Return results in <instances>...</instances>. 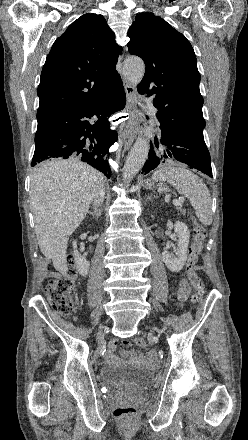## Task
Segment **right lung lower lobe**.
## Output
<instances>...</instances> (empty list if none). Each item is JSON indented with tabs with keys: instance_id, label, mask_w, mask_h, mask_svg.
<instances>
[{
	"instance_id": "obj_1",
	"label": "right lung lower lobe",
	"mask_w": 248,
	"mask_h": 440,
	"mask_svg": "<svg viewBox=\"0 0 248 440\" xmlns=\"http://www.w3.org/2000/svg\"><path fill=\"white\" fill-rule=\"evenodd\" d=\"M126 95L119 78L101 98L79 102L38 121L31 166L51 158H76L95 167L107 178L106 160L117 133L110 130L108 117L124 108Z\"/></svg>"
}]
</instances>
